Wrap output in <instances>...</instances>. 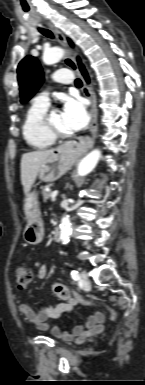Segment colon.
<instances>
[{"mask_svg":"<svg viewBox=\"0 0 145 385\" xmlns=\"http://www.w3.org/2000/svg\"><path fill=\"white\" fill-rule=\"evenodd\" d=\"M31 277H32L31 270L27 266L18 265L14 270L15 287L19 290L26 289L27 286L29 285L30 281H31ZM57 291H58V293H60L62 295L65 294L64 291L60 288H58ZM79 297L82 299L83 304H86L89 306H98L100 308H103L104 310H106L109 313L110 318L113 321H115L117 319V312L115 311V309H113L108 304L101 302V301H97V300L84 299L81 296H79Z\"/></svg>","mask_w":145,"mask_h":385,"instance_id":"1","label":"colon"}]
</instances>
